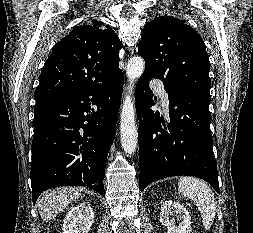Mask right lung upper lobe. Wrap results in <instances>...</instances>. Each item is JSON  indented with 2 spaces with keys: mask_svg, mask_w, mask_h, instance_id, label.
<instances>
[{
  "mask_svg": "<svg viewBox=\"0 0 253 233\" xmlns=\"http://www.w3.org/2000/svg\"><path fill=\"white\" fill-rule=\"evenodd\" d=\"M121 47L117 34L101 21L75 27L53 47L39 76L35 100L107 81L120 71Z\"/></svg>",
  "mask_w": 253,
  "mask_h": 233,
  "instance_id": "1",
  "label": "right lung upper lobe"
}]
</instances>
